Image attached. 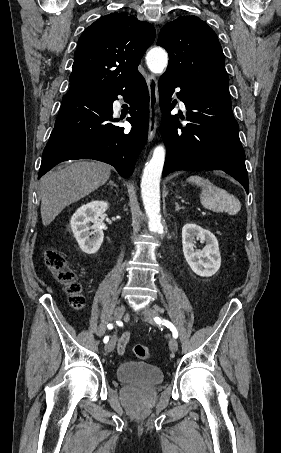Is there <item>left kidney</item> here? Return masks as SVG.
<instances>
[{
  "mask_svg": "<svg viewBox=\"0 0 281 453\" xmlns=\"http://www.w3.org/2000/svg\"><path fill=\"white\" fill-rule=\"evenodd\" d=\"M195 237L206 243L202 251H194ZM184 257L192 271L199 277H212L220 269L221 257L218 241L210 231L198 227V224H184L182 229Z\"/></svg>",
  "mask_w": 281,
  "mask_h": 453,
  "instance_id": "1",
  "label": "left kidney"
}]
</instances>
